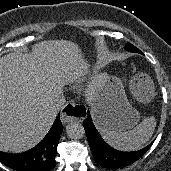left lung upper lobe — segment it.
<instances>
[{"mask_svg":"<svg viewBox=\"0 0 171 171\" xmlns=\"http://www.w3.org/2000/svg\"><path fill=\"white\" fill-rule=\"evenodd\" d=\"M126 50L130 51V52H136V53H141V51L139 49H137L136 47H134L132 44L127 43L126 44Z\"/></svg>","mask_w":171,"mask_h":171,"instance_id":"obj_1","label":"left lung upper lobe"}]
</instances>
